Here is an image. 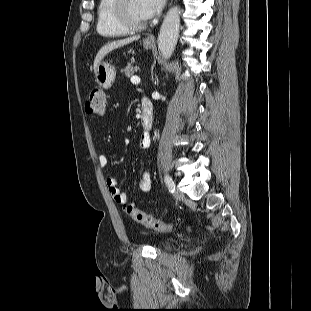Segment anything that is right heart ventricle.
<instances>
[{
	"instance_id": "1",
	"label": "right heart ventricle",
	"mask_w": 311,
	"mask_h": 311,
	"mask_svg": "<svg viewBox=\"0 0 311 311\" xmlns=\"http://www.w3.org/2000/svg\"><path fill=\"white\" fill-rule=\"evenodd\" d=\"M113 0H99L96 9V30L106 37H121L129 33L115 19L112 12Z\"/></svg>"
}]
</instances>
